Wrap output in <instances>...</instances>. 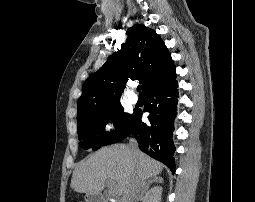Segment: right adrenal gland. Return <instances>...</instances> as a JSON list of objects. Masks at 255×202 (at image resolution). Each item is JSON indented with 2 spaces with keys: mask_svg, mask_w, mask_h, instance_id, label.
Here are the masks:
<instances>
[{
  "mask_svg": "<svg viewBox=\"0 0 255 202\" xmlns=\"http://www.w3.org/2000/svg\"><path fill=\"white\" fill-rule=\"evenodd\" d=\"M162 182H163V179L161 177H157V176H154L151 179H148L146 182V189H145L144 194L147 193V191L150 188V185H152L153 183H162ZM144 194L138 196V198L135 200V202L141 201L143 199Z\"/></svg>",
  "mask_w": 255,
  "mask_h": 202,
  "instance_id": "2a0ac1e0",
  "label": "right adrenal gland"
}]
</instances>
